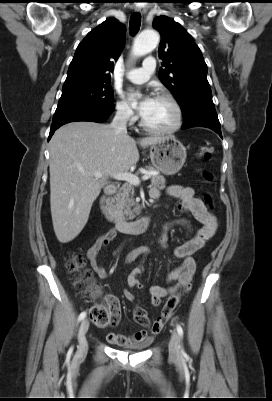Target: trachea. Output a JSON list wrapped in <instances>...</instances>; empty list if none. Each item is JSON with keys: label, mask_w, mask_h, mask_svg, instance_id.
<instances>
[{"label": "trachea", "mask_w": 272, "mask_h": 401, "mask_svg": "<svg viewBox=\"0 0 272 401\" xmlns=\"http://www.w3.org/2000/svg\"><path fill=\"white\" fill-rule=\"evenodd\" d=\"M141 26V15L139 13H134L130 17V24H129V30L131 35H135Z\"/></svg>", "instance_id": "1"}]
</instances>
